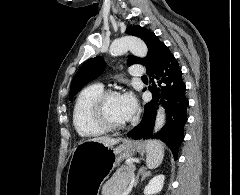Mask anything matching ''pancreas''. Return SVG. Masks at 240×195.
I'll return each instance as SVG.
<instances>
[{"label":"pancreas","mask_w":240,"mask_h":195,"mask_svg":"<svg viewBox=\"0 0 240 195\" xmlns=\"http://www.w3.org/2000/svg\"><path fill=\"white\" fill-rule=\"evenodd\" d=\"M134 163L129 165H121L114 173L113 177H110L102 187V195H115V193H121L129 183L130 171H134Z\"/></svg>","instance_id":"obj_1"}]
</instances>
